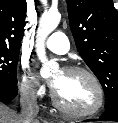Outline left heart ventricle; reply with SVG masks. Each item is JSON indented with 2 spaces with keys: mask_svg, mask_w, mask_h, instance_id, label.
Instances as JSON below:
<instances>
[{
  "mask_svg": "<svg viewBox=\"0 0 118 123\" xmlns=\"http://www.w3.org/2000/svg\"><path fill=\"white\" fill-rule=\"evenodd\" d=\"M53 80L58 81L54 89L67 107L75 110H87L95 104L96 90L86 75L63 71L56 73Z\"/></svg>",
  "mask_w": 118,
  "mask_h": 123,
  "instance_id": "left-heart-ventricle-1",
  "label": "left heart ventricle"
}]
</instances>
